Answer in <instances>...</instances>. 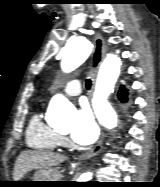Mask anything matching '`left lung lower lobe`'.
Returning a JSON list of instances; mask_svg holds the SVG:
<instances>
[{"mask_svg":"<svg viewBox=\"0 0 160 187\" xmlns=\"http://www.w3.org/2000/svg\"><path fill=\"white\" fill-rule=\"evenodd\" d=\"M118 98L122 103H126L128 101V91L127 89L124 87V85H122L120 87L119 93H118Z\"/></svg>","mask_w":160,"mask_h":187,"instance_id":"1","label":"left lung lower lobe"}]
</instances>
